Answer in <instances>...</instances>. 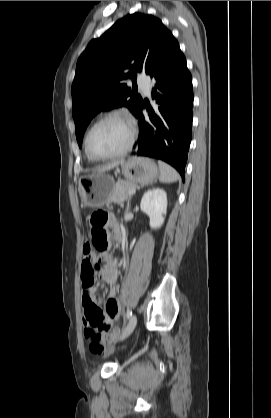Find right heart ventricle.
<instances>
[{"label":"right heart ventricle","instance_id":"1","mask_svg":"<svg viewBox=\"0 0 271 418\" xmlns=\"http://www.w3.org/2000/svg\"><path fill=\"white\" fill-rule=\"evenodd\" d=\"M88 156V155H87ZM88 158L90 159V160H93V159H91L89 156H88Z\"/></svg>","mask_w":271,"mask_h":418}]
</instances>
